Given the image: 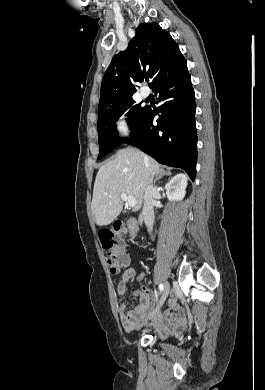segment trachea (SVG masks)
Masks as SVG:
<instances>
[{"instance_id": "1", "label": "trachea", "mask_w": 265, "mask_h": 390, "mask_svg": "<svg viewBox=\"0 0 265 390\" xmlns=\"http://www.w3.org/2000/svg\"><path fill=\"white\" fill-rule=\"evenodd\" d=\"M149 81V78H146V82H148Z\"/></svg>"}]
</instances>
